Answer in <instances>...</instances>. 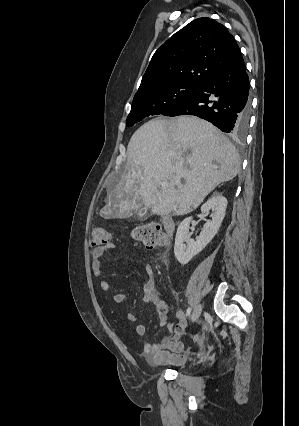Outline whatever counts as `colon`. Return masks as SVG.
Instances as JSON below:
<instances>
[{"instance_id":"obj_1","label":"colon","mask_w":299,"mask_h":426,"mask_svg":"<svg viewBox=\"0 0 299 426\" xmlns=\"http://www.w3.org/2000/svg\"><path fill=\"white\" fill-rule=\"evenodd\" d=\"M133 237L149 248L160 247L167 244L166 234L157 223H149L136 228L133 231ZM108 243L109 234L107 230L101 225L94 226L90 232V247L95 249L104 247Z\"/></svg>"}]
</instances>
